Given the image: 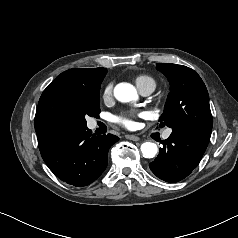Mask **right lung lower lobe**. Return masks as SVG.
<instances>
[{"label":"right lung lower lobe","mask_w":238,"mask_h":238,"mask_svg":"<svg viewBox=\"0 0 238 238\" xmlns=\"http://www.w3.org/2000/svg\"><path fill=\"white\" fill-rule=\"evenodd\" d=\"M119 140L115 135L91 136L85 127H70L38 141L41 156L62 181L77 187L95 181L105 170L109 148Z\"/></svg>","instance_id":"98d812e1"}]
</instances>
